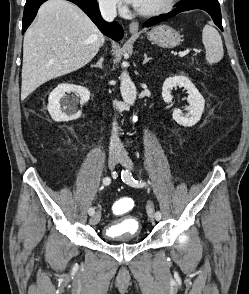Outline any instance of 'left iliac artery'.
<instances>
[{
	"instance_id": "1",
	"label": "left iliac artery",
	"mask_w": 249,
	"mask_h": 294,
	"mask_svg": "<svg viewBox=\"0 0 249 294\" xmlns=\"http://www.w3.org/2000/svg\"><path fill=\"white\" fill-rule=\"evenodd\" d=\"M121 178H122L123 182H125L131 186H134V187H144L146 185L145 182H142V181L139 182V181L135 180L132 177L131 173L128 172V170L122 171ZM155 219L156 220L161 219V212L157 211L155 213Z\"/></svg>"
}]
</instances>
